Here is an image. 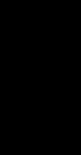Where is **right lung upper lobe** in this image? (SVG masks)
<instances>
[{
    "mask_svg": "<svg viewBox=\"0 0 81 155\" xmlns=\"http://www.w3.org/2000/svg\"><path fill=\"white\" fill-rule=\"evenodd\" d=\"M37 51V46L13 40L0 48V118L5 125L22 116L37 98L27 71Z\"/></svg>",
    "mask_w": 81,
    "mask_h": 155,
    "instance_id": "right-lung-upper-lobe-1",
    "label": "right lung upper lobe"
}]
</instances>
